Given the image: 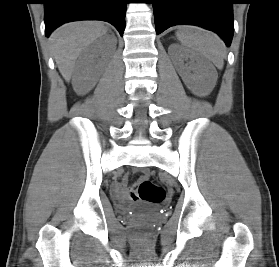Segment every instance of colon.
I'll return each instance as SVG.
<instances>
[{"label": "colon", "instance_id": "1", "mask_svg": "<svg viewBox=\"0 0 279 267\" xmlns=\"http://www.w3.org/2000/svg\"><path fill=\"white\" fill-rule=\"evenodd\" d=\"M136 192L140 200L151 203H160L165 198V190L149 180L147 173H142L138 181Z\"/></svg>", "mask_w": 279, "mask_h": 267}]
</instances>
